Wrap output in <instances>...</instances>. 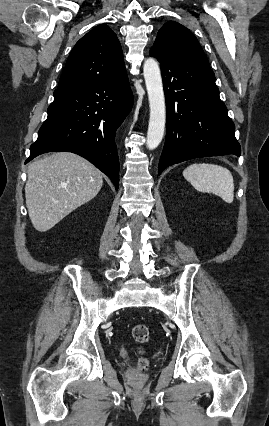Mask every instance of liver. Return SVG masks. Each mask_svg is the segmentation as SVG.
I'll use <instances>...</instances> for the list:
<instances>
[{
	"label": "liver",
	"mask_w": 269,
	"mask_h": 426,
	"mask_svg": "<svg viewBox=\"0 0 269 426\" xmlns=\"http://www.w3.org/2000/svg\"><path fill=\"white\" fill-rule=\"evenodd\" d=\"M26 207L34 228L46 232L92 200L103 185L102 173L68 152L46 155L28 166Z\"/></svg>",
	"instance_id": "6515ba94"
}]
</instances>
